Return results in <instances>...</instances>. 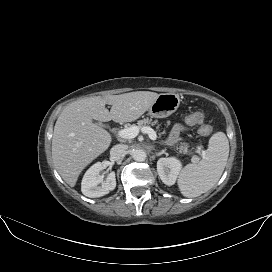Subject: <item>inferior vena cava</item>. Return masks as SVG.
<instances>
[{
  "instance_id": "1",
  "label": "inferior vena cava",
  "mask_w": 272,
  "mask_h": 272,
  "mask_svg": "<svg viewBox=\"0 0 272 272\" xmlns=\"http://www.w3.org/2000/svg\"><path fill=\"white\" fill-rule=\"evenodd\" d=\"M127 149H128V146L124 144H117L113 146L110 150L111 160L113 161L120 160L125 155Z\"/></svg>"
}]
</instances>
